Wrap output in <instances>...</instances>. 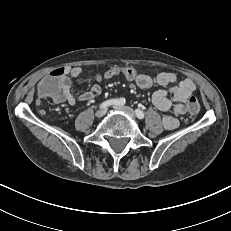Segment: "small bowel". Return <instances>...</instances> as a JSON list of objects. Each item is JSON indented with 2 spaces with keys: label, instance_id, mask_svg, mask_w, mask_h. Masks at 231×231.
Segmentation results:
<instances>
[{
  "label": "small bowel",
  "instance_id": "1",
  "mask_svg": "<svg viewBox=\"0 0 231 231\" xmlns=\"http://www.w3.org/2000/svg\"><path fill=\"white\" fill-rule=\"evenodd\" d=\"M62 71L64 75L58 84L61 97L55 100L56 102H67L75 107L78 102L92 101L101 94L102 88L98 83L92 84L87 91L80 94H75L71 90L72 79L82 74V67H64ZM100 79L101 77L98 78V80ZM133 82L140 91L170 86L169 89L155 91L151 96V102L158 110L171 113L163 117V126L168 130L177 128L179 124L177 116L184 114L183 111L188 103V97L194 96V91L196 90L195 83L191 79L178 81L177 75L172 72H160L153 78L140 75Z\"/></svg>",
  "mask_w": 231,
  "mask_h": 231
}]
</instances>
